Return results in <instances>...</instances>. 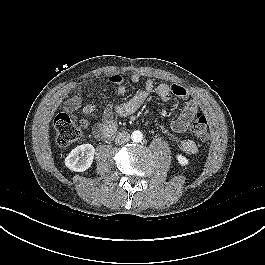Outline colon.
I'll use <instances>...</instances> for the list:
<instances>
[{"instance_id":"colon-1","label":"colon","mask_w":265,"mask_h":265,"mask_svg":"<svg viewBox=\"0 0 265 265\" xmlns=\"http://www.w3.org/2000/svg\"><path fill=\"white\" fill-rule=\"evenodd\" d=\"M88 127V121L74 120L65 113L58 114L54 120L55 142L60 147L68 146L77 141ZM191 132L201 141L208 138L209 124L205 115L197 113L191 123Z\"/></svg>"}]
</instances>
